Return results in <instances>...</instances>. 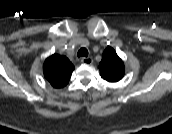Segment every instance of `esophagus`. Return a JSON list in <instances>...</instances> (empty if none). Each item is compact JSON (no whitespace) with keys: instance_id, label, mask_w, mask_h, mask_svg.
<instances>
[{"instance_id":"1","label":"esophagus","mask_w":172,"mask_h":134,"mask_svg":"<svg viewBox=\"0 0 172 134\" xmlns=\"http://www.w3.org/2000/svg\"><path fill=\"white\" fill-rule=\"evenodd\" d=\"M81 62L86 65H92L93 59L91 57H83Z\"/></svg>"}]
</instances>
